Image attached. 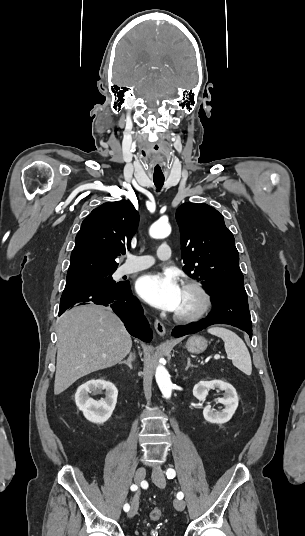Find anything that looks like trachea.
Returning a JSON list of instances; mask_svg holds the SVG:
<instances>
[{
  "label": "trachea",
  "mask_w": 305,
  "mask_h": 536,
  "mask_svg": "<svg viewBox=\"0 0 305 536\" xmlns=\"http://www.w3.org/2000/svg\"><path fill=\"white\" fill-rule=\"evenodd\" d=\"M153 182L157 188V191H159L164 184V177H153Z\"/></svg>",
  "instance_id": "3493384b"
}]
</instances>
